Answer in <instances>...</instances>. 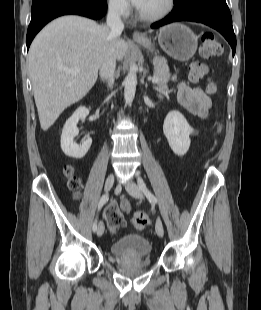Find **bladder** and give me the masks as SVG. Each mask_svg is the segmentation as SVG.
<instances>
[{"label": "bladder", "mask_w": 261, "mask_h": 310, "mask_svg": "<svg viewBox=\"0 0 261 310\" xmlns=\"http://www.w3.org/2000/svg\"><path fill=\"white\" fill-rule=\"evenodd\" d=\"M110 250L117 258L140 259L151 255L152 245L143 235L132 233L117 239Z\"/></svg>", "instance_id": "bladder-1"}]
</instances>
